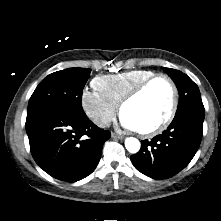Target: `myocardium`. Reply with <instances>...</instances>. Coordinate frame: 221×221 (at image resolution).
Returning <instances> with one entry per match:
<instances>
[{
    "label": "myocardium",
    "mask_w": 221,
    "mask_h": 221,
    "mask_svg": "<svg viewBox=\"0 0 221 221\" xmlns=\"http://www.w3.org/2000/svg\"><path fill=\"white\" fill-rule=\"evenodd\" d=\"M164 80L165 82H167V84L169 85L170 89H171V94H172V99H171V104H170V108L168 110L167 115L165 116V118L156 126L146 129V130H136L135 131L142 137H153L155 135L160 134L161 132H163L173 121L175 114L177 112V108H178V103H179V93H178V89L177 86L175 84V82L173 81V79L167 75V74H163V73H158V74H154L152 76H150L149 78L143 80L142 82H140L138 85H136L131 91H129L120 101L119 103V112L122 115L123 109L124 107L132 102L133 100H135L137 97H139L153 82L157 81V80Z\"/></svg>",
    "instance_id": "f54148a6"
}]
</instances>
